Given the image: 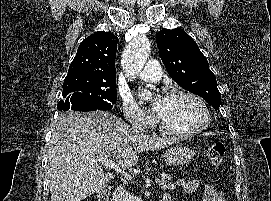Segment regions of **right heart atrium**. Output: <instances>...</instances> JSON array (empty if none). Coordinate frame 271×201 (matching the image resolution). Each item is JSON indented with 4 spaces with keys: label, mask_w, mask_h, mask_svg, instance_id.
Listing matches in <instances>:
<instances>
[{
    "label": "right heart atrium",
    "mask_w": 271,
    "mask_h": 201,
    "mask_svg": "<svg viewBox=\"0 0 271 201\" xmlns=\"http://www.w3.org/2000/svg\"><path fill=\"white\" fill-rule=\"evenodd\" d=\"M121 100L124 117L130 125L140 130H146L152 126L153 117L142 110L130 97L124 95Z\"/></svg>",
    "instance_id": "obj_1"
}]
</instances>
